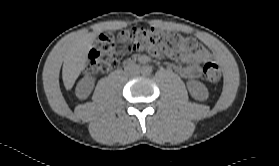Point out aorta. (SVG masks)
I'll return each instance as SVG.
<instances>
[{"instance_id":"obj_1","label":"aorta","mask_w":279,"mask_h":166,"mask_svg":"<svg viewBox=\"0 0 279 166\" xmlns=\"http://www.w3.org/2000/svg\"><path fill=\"white\" fill-rule=\"evenodd\" d=\"M151 72H152V69L149 66H143L142 69H141V73L143 75H150Z\"/></svg>"}]
</instances>
